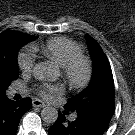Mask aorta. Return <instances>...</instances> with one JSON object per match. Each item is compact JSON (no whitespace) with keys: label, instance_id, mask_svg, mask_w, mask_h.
<instances>
[{"label":"aorta","instance_id":"1","mask_svg":"<svg viewBox=\"0 0 135 135\" xmlns=\"http://www.w3.org/2000/svg\"><path fill=\"white\" fill-rule=\"evenodd\" d=\"M34 77L38 80H55L57 71L50 62H39L33 68ZM42 120L46 123L53 124L58 118V111L54 107H45L41 111Z\"/></svg>","mask_w":135,"mask_h":135}]
</instances>
